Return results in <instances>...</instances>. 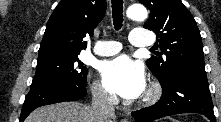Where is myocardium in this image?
<instances>
[{"mask_svg": "<svg viewBox=\"0 0 221 122\" xmlns=\"http://www.w3.org/2000/svg\"><path fill=\"white\" fill-rule=\"evenodd\" d=\"M161 95V88L157 83H153L147 90L143 101L145 103H153L159 99Z\"/></svg>", "mask_w": 221, "mask_h": 122, "instance_id": "obj_1", "label": "myocardium"}]
</instances>
